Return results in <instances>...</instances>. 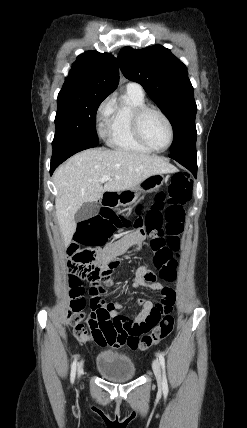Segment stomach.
<instances>
[{"mask_svg":"<svg viewBox=\"0 0 247 428\" xmlns=\"http://www.w3.org/2000/svg\"><path fill=\"white\" fill-rule=\"evenodd\" d=\"M165 181L166 178L163 174L152 175L142 181L136 187L121 192L119 194L120 203L122 205H131L139 198L141 193L154 192L158 190Z\"/></svg>","mask_w":247,"mask_h":428,"instance_id":"obj_1","label":"stomach"}]
</instances>
